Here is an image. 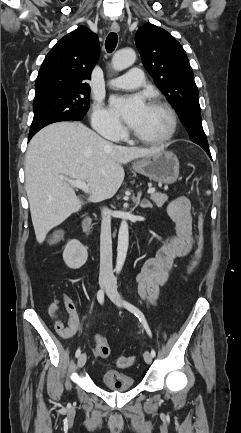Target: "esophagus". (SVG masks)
<instances>
[{
    "instance_id": "obj_1",
    "label": "esophagus",
    "mask_w": 241,
    "mask_h": 433,
    "mask_svg": "<svg viewBox=\"0 0 241 433\" xmlns=\"http://www.w3.org/2000/svg\"><path fill=\"white\" fill-rule=\"evenodd\" d=\"M119 30H120V27H119L118 23L113 22V23L111 24V31H112V32H119Z\"/></svg>"
}]
</instances>
